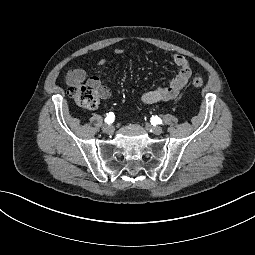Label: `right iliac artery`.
Returning <instances> with one entry per match:
<instances>
[{"instance_id":"82829eb1","label":"right iliac artery","mask_w":255,"mask_h":255,"mask_svg":"<svg viewBox=\"0 0 255 255\" xmlns=\"http://www.w3.org/2000/svg\"><path fill=\"white\" fill-rule=\"evenodd\" d=\"M115 115L113 112H109L105 118L106 123H112L114 121Z\"/></svg>"}]
</instances>
